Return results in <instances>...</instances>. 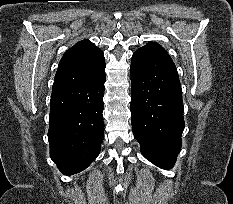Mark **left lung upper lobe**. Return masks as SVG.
Returning <instances> with one entry per match:
<instances>
[{
    "label": "left lung upper lobe",
    "instance_id": "1",
    "mask_svg": "<svg viewBox=\"0 0 233 204\" xmlns=\"http://www.w3.org/2000/svg\"><path fill=\"white\" fill-rule=\"evenodd\" d=\"M142 48L169 57V55L166 52V50L162 46H160L159 44H157V43L150 42V43L146 44L145 46H143Z\"/></svg>",
    "mask_w": 233,
    "mask_h": 204
}]
</instances>
